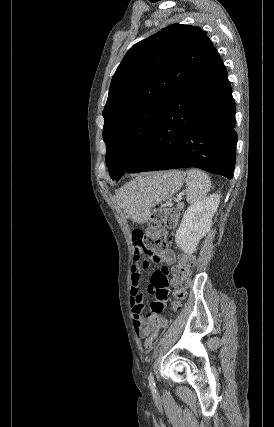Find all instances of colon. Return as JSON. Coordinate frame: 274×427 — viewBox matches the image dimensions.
I'll use <instances>...</instances> for the list:
<instances>
[{
	"label": "colon",
	"instance_id": "obj_1",
	"mask_svg": "<svg viewBox=\"0 0 274 427\" xmlns=\"http://www.w3.org/2000/svg\"><path fill=\"white\" fill-rule=\"evenodd\" d=\"M177 221V212L168 206H161L154 208L151 212L150 221L146 228L142 230L145 237V244L143 250L152 249L154 246L161 248H168L166 234L167 231L175 225ZM194 264V257L192 255H184L183 258L175 264L173 270V299L170 301L169 308L172 311H180L182 309V300L186 296V289L190 275L191 266ZM168 306V301L166 307ZM153 322L158 323L159 328L165 327V322L162 317H153ZM161 331L155 328L150 337L145 342L146 350H153L154 346H159V335ZM141 363L147 362L146 356L140 357Z\"/></svg>",
	"mask_w": 274,
	"mask_h": 427
}]
</instances>
